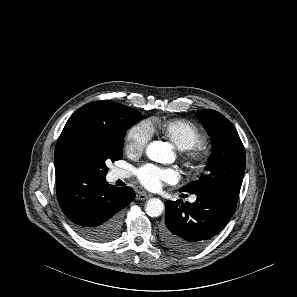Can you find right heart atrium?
<instances>
[{"mask_svg":"<svg viewBox=\"0 0 297 297\" xmlns=\"http://www.w3.org/2000/svg\"><path fill=\"white\" fill-rule=\"evenodd\" d=\"M153 135L148 122H140L129 129L125 137V146L128 153L140 155L146 149Z\"/></svg>","mask_w":297,"mask_h":297,"instance_id":"obj_1","label":"right heart atrium"}]
</instances>
